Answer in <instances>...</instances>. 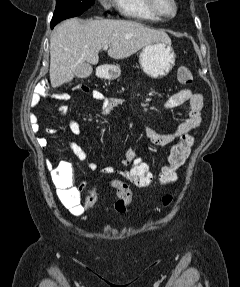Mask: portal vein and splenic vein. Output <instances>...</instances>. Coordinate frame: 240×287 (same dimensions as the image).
Segmentation results:
<instances>
[{
  "instance_id": "1",
  "label": "portal vein and splenic vein",
  "mask_w": 240,
  "mask_h": 287,
  "mask_svg": "<svg viewBox=\"0 0 240 287\" xmlns=\"http://www.w3.org/2000/svg\"><path fill=\"white\" fill-rule=\"evenodd\" d=\"M108 47H109L108 45H105V46L103 47V49H104V50H107Z\"/></svg>"
}]
</instances>
